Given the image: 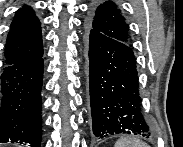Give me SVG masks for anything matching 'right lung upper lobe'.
Listing matches in <instances>:
<instances>
[{
	"label": "right lung upper lobe",
	"instance_id": "obj_1",
	"mask_svg": "<svg viewBox=\"0 0 183 147\" xmlns=\"http://www.w3.org/2000/svg\"><path fill=\"white\" fill-rule=\"evenodd\" d=\"M43 50L40 22L27 6L20 8L11 23L5 48V65L23 62Z\"/></svg>",
	"mask_w": 183,
	"mask_h": 147
}]
</instances>
